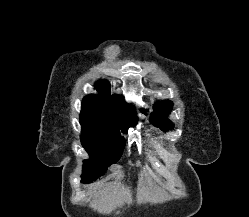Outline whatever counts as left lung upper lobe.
Instances as JSON below:
<instances>
[{"label": "left lung upper lobe", "instance_id": "obj_1", "mask_svg": "<svg viewBox=\"0 0 249 217\" xmlns=\"http://www.w3.org/2000/svg\"><path fill=\"white\" fill-rule=\"evenodd\" d=\"M172 102L160 101L154 105V112L151 114L150 120L155 126H160L164 131L172 127V123L166 119L165 114L171 112Z\"/></svg>", "mask_w": 249, "mask_h": 217}]
</instances>
